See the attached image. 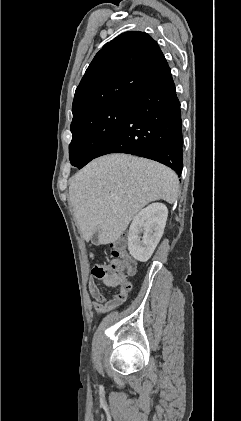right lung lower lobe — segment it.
Returning <instances> with one entry per match:
<instances>
[{
  "instance_id": "98d812e1",
  "label": "right lung lower lobe",
  "mask_w": 241,
  "mask_h": 421,
  "mask_svg": "<svg viewBox=\"0 0 241 421\" xmlns=\"http://www.w3.org/2000/svg\"><path fill=\"white\" fill-rule=\"evenodd\" d=\"M109 153L152 159L169 166L180 176L182 119L168 64L130 98L120 127L96 157Z\"/></svg>"
}]
</instances>
